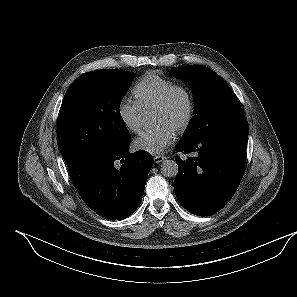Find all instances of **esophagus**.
<instances>
[{"label": "esophagus", "instance_id": "esophagus-1", "mask_svg": "<svg viewBox=\"0 0 297 297\" xmlns=\"http://www.w3.org/2000/svg\"><path fill=\"white\" fill-rule=\"evenodd\" d=\"M166 157L165 156H162V155H157V156H154L153 157V160L156 164H159L161 163L163 160H165Z\"/></svg>", "mask_w": 297, "mask_h": 297}]
</instances>
